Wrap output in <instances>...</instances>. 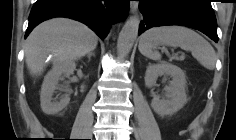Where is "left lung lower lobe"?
<instances>
[{"instance_id":"0a47b994","label":"left lung lower lobe","mask_w":236,"mask_h":140,"mask_svg":"<svg viewBox=\"0 0 236 140\" xmlns=\"http://www.w3.org/2000/svg\"><path fill=\"white\" fill-rule=\"evenodd\" d=\"M143 13L139 33L166 25L197 29L218 42L217 22L210 0H139Z\"/></svg>"}]
</instances>
